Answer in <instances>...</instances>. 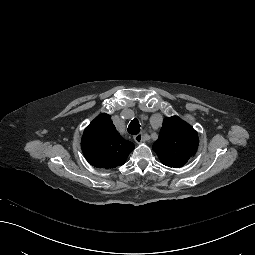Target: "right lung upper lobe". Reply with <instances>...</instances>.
Masks as SVG:
<instances>
[{
  "label": "right lung upper lobe",
  "mask_w": 255,
  "mask_h": 255,
  "mask_svg": "<svg viewBox=\"0 0 255 255\" xmlns=\"http://www.w3.org/2000/svg\"><path fill=\"white\" fill-rule=\"evenodd\" d=\"M81 147L91 165L109 169L124 164L134 144L118 134L110 115L103 113L85 129Z\"/></svg>",
  "instance_id": "1"
}]
</instances>
